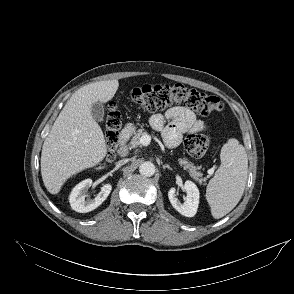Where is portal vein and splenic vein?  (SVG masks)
<instances>
[{
	"instance_id": "1",
	"label": "portal vein and splenic vein",
	"mask_w": 294,
	"mask_h": 294,
	"mask_svg": "<svg viewBox=\"0 0 294 294\" xmlns=\"http://www.w3.org/2000/svg\"><path fill=\"white\" fill-rule=\"evenodd\" d=\"M150 142H151V136H149L148 134H145L140 138V144L144 146L149 145Z\"/></svg>"
}]
</instances>
